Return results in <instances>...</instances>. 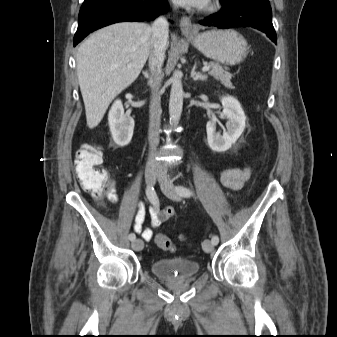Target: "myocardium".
Instances as JSON below:
<instances>
[{
	"instance_id": "myocardium-1",
	"label": "myocardium",
	"mask_w": 337,
	"mask_h": 337,
	"mask_svg": "<svg viewBox=\"0 0 337 337\" xmlns=\"http://www.w3.org/2000/svg\"><path fill=\"white\" fill-rule=\"evenodd\" d=\"M218 8H219L218 3L213 2L207 7V10L210 11V12H214V11L218 10Z\"/></svg>"
}]
</instances>
